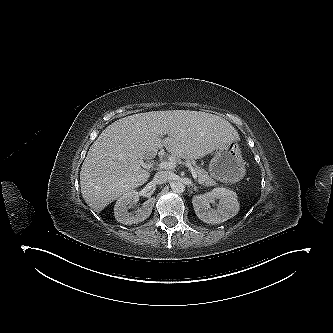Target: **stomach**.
Returning <instances> with one entry per match:
<instances>
[{
    "label": "stomach",
    "mask_w": 333,
    "mask_h": 333,
    "mask_svg": "<svg viewBox=\"0 0 333 333\" xmlns=\"http://www.w3.org/2000/svg\"><path fill=\"white\" fill-rule=\"evenodd\" d=\"M209 174L223 183H236L245 175V162L236 142L221 147L209 164Z\"/></svg>",
    "instance_id": "1"
}]
</instances>
